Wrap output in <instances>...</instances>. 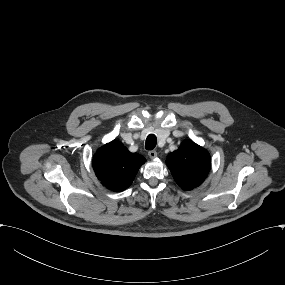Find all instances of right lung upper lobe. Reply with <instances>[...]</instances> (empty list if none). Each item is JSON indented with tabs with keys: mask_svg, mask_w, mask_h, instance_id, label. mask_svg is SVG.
Returning <instances> with one entry per match:
<instances>
[{
	"mask_svg": "<svg viewBox=\"0 0 285 285\" xmlns=\"http://www.w3.org/2000/svg\"><path fill=\"white\" fill-rule=\"evenodd\" d=\"M145 158L131 153L118 141L101 147L93 158V168L102 185L112 191H123L133 182Z\"/></svg>",
	"mask_w": 285,
	"mask_h": 285,
	"instance_id": "obj_1",
	"label": "right lung upper lobe"
}]
</instances>
